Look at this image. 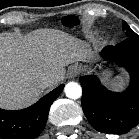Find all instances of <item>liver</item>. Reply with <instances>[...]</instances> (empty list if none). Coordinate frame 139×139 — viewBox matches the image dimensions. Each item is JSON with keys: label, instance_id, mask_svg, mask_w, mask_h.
I'll list each match as a JSON object with an SVG mask.
<instances>
[{"label": "liver", "instance_id": "liver-1", "mask_svg": "<svg viewBox=\"0 0 139 139\" xmlns=\"http://www.w3.org/2000/svg\"><path fill=\"white\" fill-rule=\"evenodd\" d=\"M91 57L87 44L59 30L43 29L24 38L0 35V107L19 109L42 93L39 79L64 78L65 66Z\"/></svg>", "mask_w": 139, "mask_h": 139}]
</instances>
